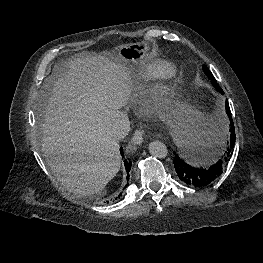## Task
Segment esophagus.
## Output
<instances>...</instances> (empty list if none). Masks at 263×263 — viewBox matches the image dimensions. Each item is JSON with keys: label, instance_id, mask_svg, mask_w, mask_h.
Here are the masks:
<instances>
[{"label": "esophagus", "instance_id": "1", "mask_svg": "<svg viewBox=\"0 0 263 263\" xmlns=\"http://www.w3.org/2000/svg\"><path fill=\"white\" fill-rule=\"evenodd\" d=\"M144 130L143 129H137L132 137V143L135 145H141L142 141H143V134H144Z\"/></svg>", "mask_w": 263, "mask_h": 263}]
</instances>
